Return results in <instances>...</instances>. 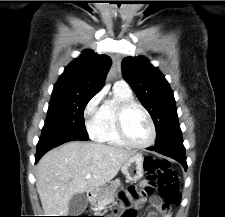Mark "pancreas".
Segmentation results:
<instances>
[{"label": "pancreas", "mask_w": 225, "mask_h": 217, "mask_svg": "<svg viewBox=\"0 0 225 217\" xmlns=\"http://www.w3.org/2000/svg\"><path fill=\"white\" fill-rule=\"evenodd\" d=\"M119 183H120L119 180H115V182H114L115 186L119 185ZM113 200H114L113 193L106 194L105 196H103V198L101 200L98 201V204L95 206L96 211L97 212L101 211L102 209L105 208L106 205L113 202Z\"/></svg>", "instance_id": "pancreas-1"}]
</instances>
